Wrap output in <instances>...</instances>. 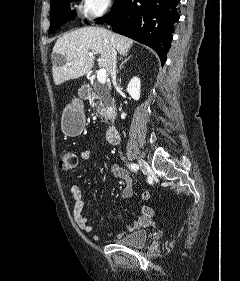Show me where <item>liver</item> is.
<instances>
[{"label":"liver","instance_id":"obj_1","mask_svg":"<svg viewBox=\"0 0 240 281\" xmlns=\"http://www.w3.org/2000/svg\"><path fill=\"white\" fill-rule=\"evenodd\" d=\"M133 40L101 27H83L60 37L52 51V73L55 85L78 79L86 75L94 65V55L99 54L98 66L108 73L112 68V51L125 55ZM89 53H93L89 56ZM55 55H61L65 63L55 62Z\"/></svg>","mask_w":240,"mask_h":281}]
</instances>
